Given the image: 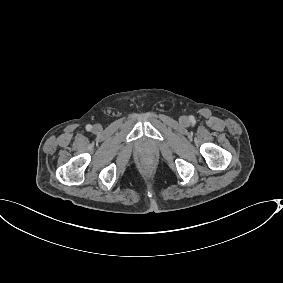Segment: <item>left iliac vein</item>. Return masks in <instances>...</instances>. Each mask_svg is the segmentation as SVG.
Masks as SVG:
<instances>
[{
    "mask_svg": "<svg viewBox=\"0 0 283 283\" xmlns=\"http://www.w3.org/2000/svg\"><path fill=\"white\" fill-rule=\"evenodd\" d=\"M187 118L186 117H182V121L186 122Z\"/></svg>",
    "mask_w": 283,
    "mask_h": 283,
    "instance_id": "4c4485c4",
    "label": "left iliac vein"
}]
</instances>
